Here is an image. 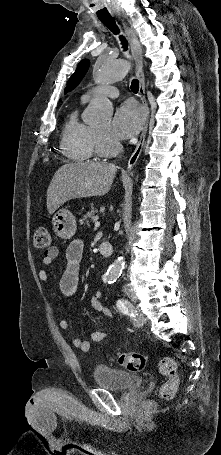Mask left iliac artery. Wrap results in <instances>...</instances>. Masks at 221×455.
I'll list each match as a JSON object with an SVG mask.
<instances>
[{"label": "left iliac artery", "instance_id": "left-iliac-artery-1", "mask_svg": "<svg viewBox=\"0 0 221 455\" xmlns=\"http://www.w3.org/2000/svg\"><path fill=\"white\" fill-rule=\"evenodd\" d=\"M117 308L124 314L129 315L131 317H135L137 315V311L134 310L133 305L126 299H118L116 301Z\"/></svg>", "mask_w": 221, "mask_h": 455}]
</instances>
